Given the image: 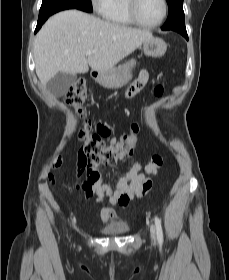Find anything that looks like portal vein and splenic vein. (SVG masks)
<instances>
[{"label": "portal vein and splenic vein", "mask_w": 229, "mask_h": 280, "mask_svg": "<svg viewBox=\"0 0 229 280\" xmlns=\"http://www.w3.org/2000/svg\"><path fill=\"white\" fill-rule=\"evenodd\" d=\"M95 52H96L95 49L94 50H89V51L86 52V55L89 56V55H92Z\"/></svg>", "instance_id": "portal-vein-and-splenic-vein-1"}]
</instances>
